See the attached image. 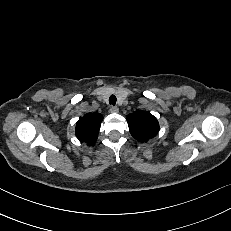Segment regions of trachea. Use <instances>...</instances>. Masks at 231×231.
<instances>
[{
  "label": "trachea",
  "instance_id": "1",
  "mask_svg": "<svg viewBox=\"0 0 231 231\" xmlns=\"http://www.w3.org/2000/svg\"><path fill=\"white\" fill-rule=\"evenodd\" d=\"M116 101H117V99H116V96H115V95H111V96L109 97V103H110L111 105H115V104H116Z\"/></svg>",
  "mask_w": 231,
  "mask_h": 231
}]
</instances>
